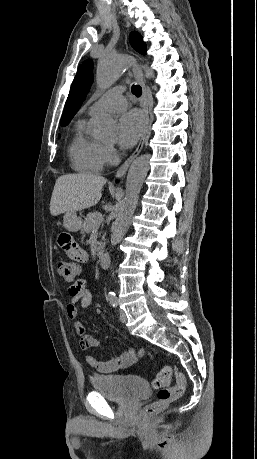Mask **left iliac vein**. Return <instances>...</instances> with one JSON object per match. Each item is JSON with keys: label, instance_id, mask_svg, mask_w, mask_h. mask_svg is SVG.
<instances>
[{"label": "left iliac vein", "instance_id": "4c4485c4", "mask_svg": "<svg viewBox=\"0 0 257 459\" xmlns=\"http://www.w3.org/2000/svg\"><path fill=\"white\" fill-rule=\"evenodd\" d=\"M119 314H120V320L122 323H126L127 322V317H126V314L124 312V310H119Z\"/></svg>", "mask_w": 257, "mask_h": 459}]
</instances>
